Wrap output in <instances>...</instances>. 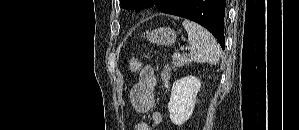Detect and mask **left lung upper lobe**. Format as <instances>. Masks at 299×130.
<instances>
[{"label": "left lung upper lobe", "instance_id": "5c2ea615", "mask_svg": "<svg viewBox=\"0 0 299 130\" xmlns=\"http://www.w3.org/2000/svg\"><path fill=\"white\" fill-rule=\"evenodd\" d=\"M158 2H162V0H120L123 8L135 10L145 6H152Z\"/></svg>", "mask_w": 299, "mask_h": 130}]
</instances>
